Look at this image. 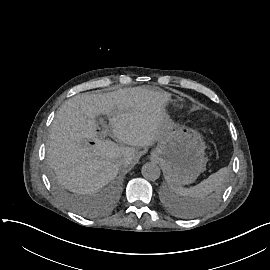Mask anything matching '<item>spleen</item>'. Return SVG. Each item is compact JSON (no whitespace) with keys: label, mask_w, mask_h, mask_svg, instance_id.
Here are the masks:
<instances>
[{"label":"spleen","mask_w":270,"mask_h":270,"mask_svg":"<svg viewBox=\"0 0 270 270\" xmlns=\"http://www.w3.org/2000/svg\"><path fill=\"white\" fill-rule=\"evenodd\" d=\"M228 175V169L221 168L194 187L183 188L178 184H170V188L173 191L175 198L181 202L185 209L196 210V208H198L197 204L206 194L210 193L214 189L218 190L223 187L227 181Z\"/></svg>","instance_id":"3e777b00"}]
</instances>
